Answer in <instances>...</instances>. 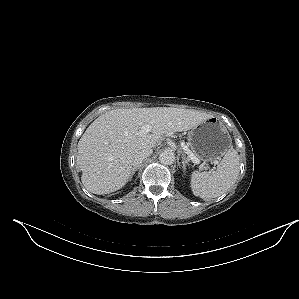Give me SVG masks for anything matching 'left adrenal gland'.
Here are the masks:
<instances>
[{"label":"left adrenal gland","instance_id":"1","mask_svg":"<svg viewBox=\"0 0 299 299\" xmlns=\"http://www.w3.org/2000/svg\"><path fill=\"white\" fill-rule=\"evenodd\" d=\"M186 166H189V163L185 157V155H182V168H183V172H186Z\"/></svg>","mask_w":299,"mask_h":299}]
</instances>
